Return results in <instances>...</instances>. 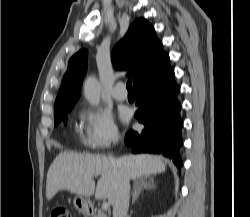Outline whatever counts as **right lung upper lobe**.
<instances>
[{"instance_id": "right-lung-upper-lobe-1", "label": "right lung upper lobe", "mask_w": 250, "mask_h": 217, "mask_svg": "<svg viewBox=\"0 0 250 217\" xmlns=\"http://www.w3.org/2000/svg\"><path fill=\"white\" fill-rule=\"evenodd\" d=\"M167 56L155 30L145 19H136L124 38L112 50L113 66L118 70H129V77L136 85L153 71ZM87 68V50L74 54L68 63L54 105V115L69 112L75 105Z\"/></svg>"}]
</instances>
